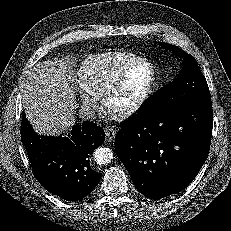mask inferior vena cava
<instances>
[{
    "label": "inferior vena cava",
    "instance_id": "inferior-vena-cava-1",
    "mask_svg": "<svg viewBox=\"0 0 231 231\" xmlns=\"http://www.w3.org/2000/svg\"><path fill=\"white\" fill-rule=\"evenodd\" d=\"M79 117L84 121H93L95 116V111L90 106H81L79 109Z\"/></svg>",
    "mask_w": 231,
    "mask_h": 231
}]
</instances>
